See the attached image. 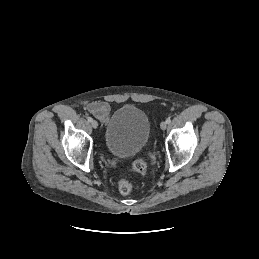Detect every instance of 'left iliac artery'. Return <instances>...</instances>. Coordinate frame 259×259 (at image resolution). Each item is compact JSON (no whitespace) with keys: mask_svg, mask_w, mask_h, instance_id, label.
<instances>
[{"mask_svg":"<svg viewBox=\"0 0 259 259\" xmlns=\"http://www.w3.org/2000/svg\"><path fill=\"white\" fill-rule=\"evenodd\" d=\"M171 122V119L170 118H167L166 119V123L169 124Z\"/></svg>","mask_w":259,"mask_h":259,"instance_id":"left-iliac-artery-1","label":"left iliac artery"}]
</instances>
